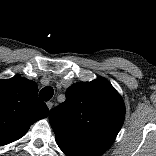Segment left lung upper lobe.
Returning <instances> with one entry per match:
<instances>
[{"mask_svg": "<svg viewBox=\"0 0 156 156\" xmlns=\"http://www.w3.org/2000/svg\"><path fill=\"white\" fill-rule=\"evenodd\" d=\"M49 114L56 142L84 156H100L114 142L125 117L121 96L105 79L77 83Z\"/></svg>", "mask_w": 156, "mask_h": 156, "instance_id": "1", "label": "left lung upper lobe"}]
</instances>
